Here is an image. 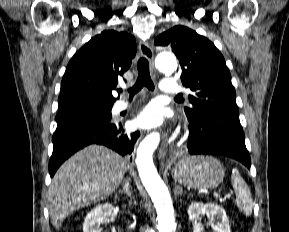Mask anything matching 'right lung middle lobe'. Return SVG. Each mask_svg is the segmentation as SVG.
<instances>
[{"instance_id":"dd1d6c3e","label":"right lung middle lobe","mask_w":289,"mask_h":232,"mask_svg":"<svg viewBox=\"0 0 289 232\" xmlns=\"http://www.w3.org/2000/svg\"><path fill=\"white\" fill-rule=\"evenodd\" d=\"M111 108L105 106H82L59 110L57 123L72 121H101L110 122Z\"/></svg>"}]
</instances>
